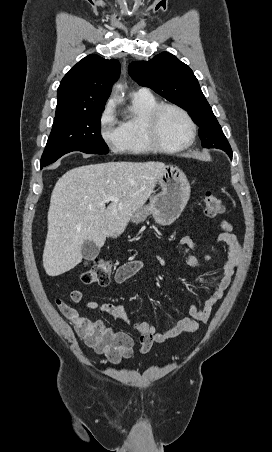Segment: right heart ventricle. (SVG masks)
Wrapping results in <instances>:
<instances>
[{
  "label": "right heart ventricle",
  "mask_w": 272,
  "mask_h": 452,
  "mask_svg": "<svg viewBox=\"0 0 272 452\" xmlns=\"http://www.w3.org/2000/svg\"><path fill=\"white\" fill-rule=\"evenodd\" d=\"M159 105L151 93H134L129 114L121 122L123 136L121 150L131 154H144L154 149L145 134L146 119L150 112Z\"/></svg>",
  "instance_id": "obj_1"
}]
</instances>
